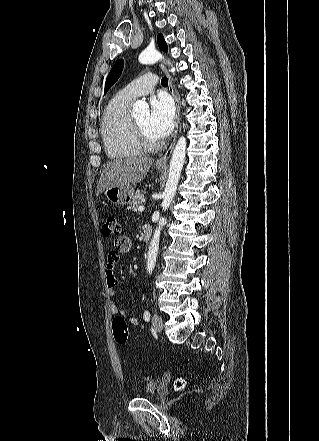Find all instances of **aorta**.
Returning a JSON list of instances; mask_svg holds the SVG:
<instances>
[{"label": "aorta", "mask_w": 319, "mask_h": 441, "mask_svg": "<svg viewBox=\"0 0 319 441\" xmlns=\"http://www.w3.org/2000/svg\"><path fill=\"white\" fill-rule=\"evenodd\" d=\"M138 60L142 64H154L159 60L165 61V58L160 52L156 50L146 49L139 55ZM167 63L171 65V62L167 61ZM171 72L173 73L175 72V68L173 66L171 68ZM147 111H148V104L145 101L139 100L135 102L133 106L134 115L144 114ZM185 154H186V139L185 137L182 136L179 138L175 146L170 161L169 176L167 179L165 190L163 192V201L161 204L162 210H164V212L168 210L175 196L177 185L181 176V171L185 160ZM165 224H166V218L161 217L158 221L157 227L154 231L152 240L149 245L148 254H147V272L149 274H152L155 268L156 258L159 249L160 235L163 226Z\"/></svg>", "instance_id": "obj_1"}]
</instances>
